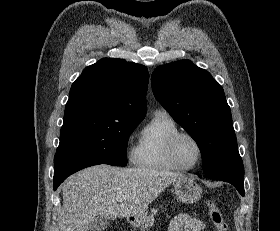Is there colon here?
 I'll use <instances>...</instances> for the list:
<instances>
[{
	"label": "colon",
	"mask_w": 280,
	"mask_h": 231,
	"mask_svg": "<svg viewBox=\"0 0 280 231\" xmlns=\"http://www.w3.org/2000/svg\"><path fill=\"white\" fill-rule=\"evenodd\" d=\"M206 206L212 223L214 224L216 231H228L227 223L224 219V216L218 206L211 202L207 201Z\"/></svg>",
	"instance_id": "5ec220e1"
}]
</instances>
